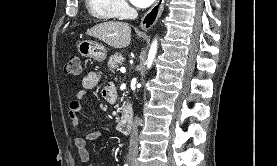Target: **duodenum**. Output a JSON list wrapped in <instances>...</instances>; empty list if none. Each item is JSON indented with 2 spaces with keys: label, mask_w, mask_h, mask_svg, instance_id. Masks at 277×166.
Here are the masks:
<instances>
[{
  "label": "duodenum",
  "mask_w": 277,
  "mask_h": 166,
  "mask_svg": "<svg viewBox=\"0 0 277 166\" xmlns=\"http://www.w3.org/2000/svg\"><path fill=\"white\" fill-rule=\"evenodd\" d=\"M132 123V112L129 105L125 104L122 109L121 117L118 121V130L121 133L127 134L130 132Z\"/></svg>",
  "instance_id": "duodenum-1"
}]
</instances>
